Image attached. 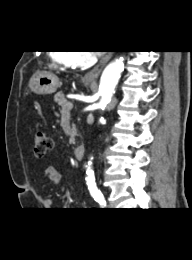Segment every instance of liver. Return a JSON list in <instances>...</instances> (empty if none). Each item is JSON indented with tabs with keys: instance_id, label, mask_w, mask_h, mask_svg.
Here are the masks:
<instances>
[{
	"instance_id": "1",
	"label": "liver",
	"mask_w": 192,
	"mask_h": 260,
	"mask_svg": "<svg viewBox=\"0 0 192 260\" xmlns=\"http://www.w3.org/2000/svg\"><path fill=\"white\" fill-rule=\"evenodd\" d=\"M40 73H45V74H47L48 72H40Z\"/></svg>"
}]
</instances>
